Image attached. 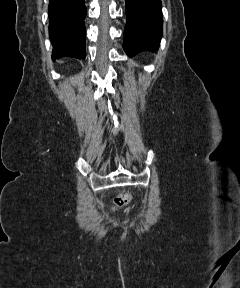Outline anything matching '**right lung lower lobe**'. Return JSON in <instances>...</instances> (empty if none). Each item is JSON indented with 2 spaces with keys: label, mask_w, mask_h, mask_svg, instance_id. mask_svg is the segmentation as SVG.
<instances>
[{
  "label": "right lung lower lobe",
  "mask_w": 240,
  "mask_h": 288,
  "mask_svg": "<svg viewBox=\"0 0 240 288\" xmlns=\"http://www.w3.org/2000/svg\"><path fill=\"white\" fill-rule=\"evenodd\" d=\"M49 36L53 45L52 58L86 57L84 0H50Z\"/></svg>",
  "instance_id": "1"
}]
</instances>
